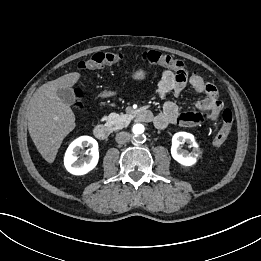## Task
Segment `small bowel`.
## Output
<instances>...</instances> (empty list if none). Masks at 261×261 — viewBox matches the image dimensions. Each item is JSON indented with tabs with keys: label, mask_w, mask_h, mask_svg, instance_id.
<instances>
[{
	"label": "small bowel",
	"mask_w": 261,
	"mask_h": 261,
	"mask_svg": "<svg viewBox=\"0 0 261 261\" xmlns=\"http://www.w3.org/2000/svg\"><path fill=\"white\" fill-rule=\"evenodd\" d=\"M187 84L204 95L196 103L198 112H181L174 102L165 100L170 93L179 96ZM157 92L164 100L162 112L153 118V123L158 129L176 124L193 127L205 120L215 121L223 108L216 87L198 74L188 76L185 72L165 70L162 72Z\"/></svg>",
	"instance_id": "c3829d8e"
}]
</instances>
